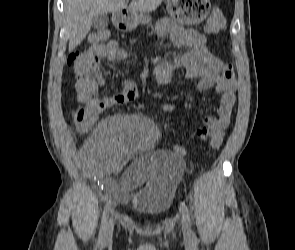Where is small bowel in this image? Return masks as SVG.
Returning <instances> with one entry per match:
<instances>
[{
  "label": "small bowel",
  "mask_w": 295,
  "mask_h": 250,
  "mask_svg": "<svg viewBox=\"0 0 295 250\" xmlns=\"http://www.w3.org/2000/svg\"><path fill=\"white\" fill-rule=\"evenodd\" d=\"M157 32L162 37H170L176 47L184 49L173 61L163 60L155 66L154 75L158 83H170L174 71L184 69L187 77L198 79L199 92L214 88L220 94L217 115H204L203 125L195 131L199 140L210 139L213 149L220 148L235 104V79L223 77L222 60L208 50L206 37L197 30L183 28L169 19H163L158 23ZM127 57L128 52L114 41L91 46L83 59L70 55L68 64L75 72L77 100L84 105L95 106L99 113L133 101L137 88L129 80L123 82L120 93L105 98L98 95L99 86L104 84L101 62H114ZM164 109L170 110L172 106L165 105ZM157 136L156 127L141 114H122L105 120L85 145L87 173L97 178L119 199H127L130 192L149 177V160L143 153L154 147ZM173 150L178 155L185 153L181 146H175ZM124 160L133 162L121 179L116 181L111 176L112 172Z\"/></svg>",
  "instance_id": "1"
}]
</instances>
